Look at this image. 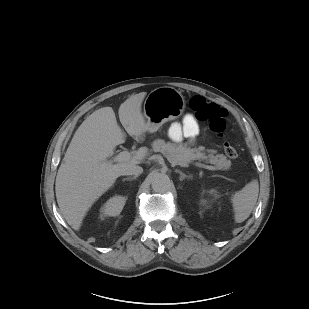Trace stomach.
<instances>
[{
	"mask_svg": "<svg viewBox=\"0 0 309 309\" xmlns=\"http://www.w3.org/2000/svg\"><path fill=\"white\" fill-rule=\"evenodd\" d=\"M185 108L183 95L173 87L152 90L144 102L147 131L156 132L165 122L179 118Z\"/></svg>",
	"mask_w": 309,
	"mask_h": 309,
	"instance_id": "1",
	"label": "stomach"
}]
</instances>
